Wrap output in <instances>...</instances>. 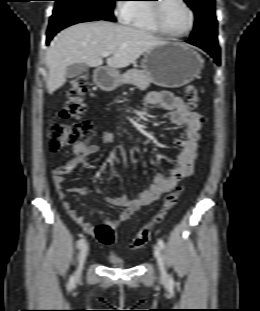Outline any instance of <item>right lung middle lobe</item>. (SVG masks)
I'll list each match as a JSON object with an SVG mask.
<instances>
[{
  "label": "right lung middle lobe",
  "instance_id": "1",
  "mask_svg": "<svg viewBox=\"0 0 260 311\" xmlns=\"http://www.w3.org/2000/svg\"><path fill=\"white\" fill-rule=\"evenodd\" d=\"M55 8L51 18L76 16L96 18L115 22L114 3L117 0H54Z\"/></svg>",
  "mask_w": 260,
  "mask_h": 311
}]
</instances>
